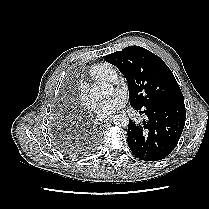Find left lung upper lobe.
Instances as JSON below:
<instances>
[{"mask_svg":"<svg viewBox=\"0 0 209 209\" xmlns=\"http://www.w3.org/2000/svg\"><path fill=\"white\" fill-rule=\"evenodd\" d=\"M104 59L126 77L133 108L184 105L183 94L173 73L162 59L149 50L129 46L104 56Z\"/></svg>","mask_w":209,"mask_h":209,"instance_id":"1","label":"left lung upper lobe"}]
</instances>
